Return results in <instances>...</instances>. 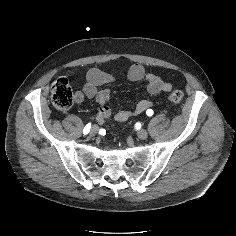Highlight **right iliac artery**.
Returning <instances> with one entry per match:
<instances>
[{
  "mask_svg": "<svg viewBox=\"0 0 236 236\" xmlns=\"http://www.w3.org/2000/svg\"><path fill=\"white\" fill-rule=\"evenodd\" d=\"M90 128H91V124L88 123L83 129V134H85V135L88 134L90 131Z\"/></svg>",
  "mask_w": 236,
  "mask_h": 236,
  "instance_id": "82829eb1",
  "label": "right iliac artery"
}]
</instances>
